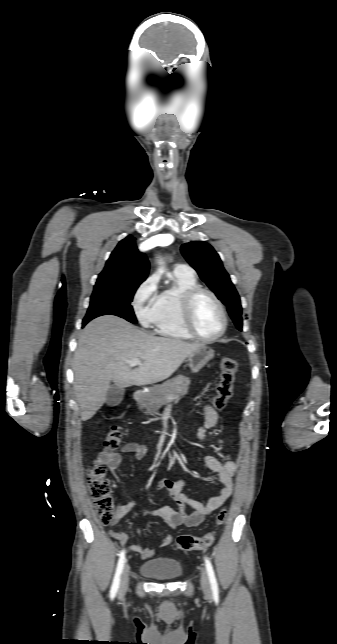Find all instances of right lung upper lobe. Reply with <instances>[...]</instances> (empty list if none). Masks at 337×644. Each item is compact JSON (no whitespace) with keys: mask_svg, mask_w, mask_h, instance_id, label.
<instances>
[{"mask_svg":"<svg viewBox=\"0 0 337 644\" xmlns=\"http://www.w3.org/2000/svg\"><path fill=\"white\" fill-rule=\"evenodd\" d=\"M148 272L147 257L138 251L135 238L129 235L111 253L96 285L142 283Z\"/></svg>","mask_w":337,"mask_h":644,"instance_id":"1","label":"right lung upper lobe"}]
</instances>
